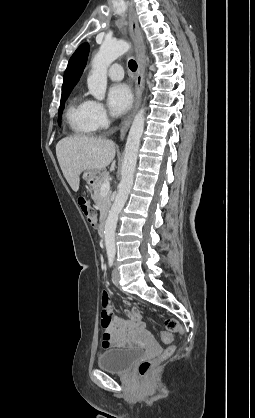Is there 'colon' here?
Returning <instances> with one entry per match:
<instances>
[{
    "mask_svg": "<svg viewBox=\"0 0 255 418\" xmlns=\"http://www.w3.org/2000/svg\"><path fill=\"white\" fill-rule=\"evenodd\" d=\"M78 205L87 221L90 224L95 223V212L90 206L88 200L80 196L78 197ZM165 332L163 333V340L167 343L172 341V334L178 333L182 335L184 333L183 328L180 326L177 320L173 318H168L165 320ZM176 350V345H170L164 350L158 357L153 359H143L138 365V374L140 377H146L149 373L155 368V366L162 360L170 357Z\"/></svg>",
    "mask_w": 255,
    "mask_h": 418,
    "instance_id": "colon-1",
    "label": "colon"
}]
</instances>
